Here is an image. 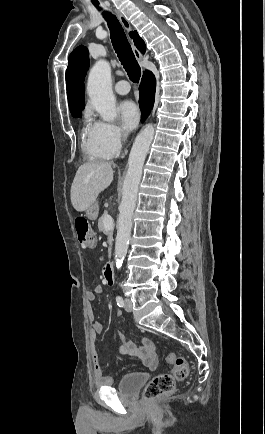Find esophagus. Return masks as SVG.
I'll use <instances>...</instances> for the list:
<instances>
[{
	"label": "esophagus",
	"mask_w": 265,
	"mask_h": 434,
	"mask_svg": "<svg viewBox=\"0 0 265 434\" xmlns=\"http://www.w3.org/2000/svg\"><path fill=\"white\" fill-rule=\"evenodd\" d=\"M123 27L125 28V30L129 33L131 31V25L130 22L124 17V15H122L121 12H119L118 10L116 11ZM132 44V50L133 53L136 57V59L138 60V62H141L143 60V56L142 54L139 52V50L135 47V45L133 44V42L131 41Z\"/></svg>",
	"instance_id": "obj_1"
}]
</instances>
